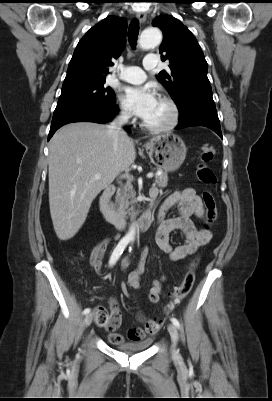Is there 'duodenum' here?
Instances as JSON below:
<instances>
[{
	"label": "duodenum",
	"mask_w": 272,
	"mask_h": 401,
	"mask_svg": "<svg viewBox=\"0 0 272 401\" xmlns=\"http://www.w3.org/2000/svg\"><path fill=\"white\" fill-rule=\"evenodd\" d=\"M114 186H108L99 197V208L105 220L117 228H125L129 224V220L116 212L112 206L111 199L115 193ZM157 195H150V200L153 202ZM152 222L151 210H146L136 221V228L140 231H146Z\"/></svg>",
	"instance_id": "obj_1"
}]
</instances>
